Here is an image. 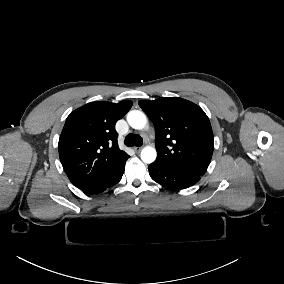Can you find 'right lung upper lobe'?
Wrapping results in <instances>:
<instances>
[{
    "label": "right lung upper lobe",
    "instance_id": "cb5924a9",
    "mask_svg": "<svg viewBox=\"0 0 284 284\" xmlns=\"http://www.w3.org/2000/svg\"><path fill=\"white\" fill-rule=\"evenodd\" d=\"M132 104L129 100L91 102L67 117L59 157L69 180L82 191L97 187L129 158L118 147L115 124Z\"/></svg>",
    "mask_w": 284,
    "mask_h": 284
}]
</instances>
